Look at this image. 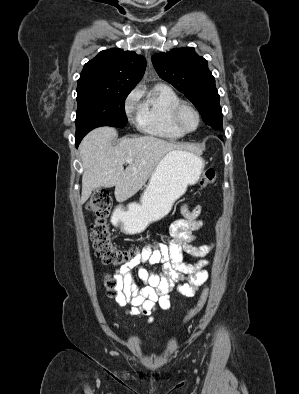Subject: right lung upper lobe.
<instances>
[{"mask_svg": "<svg viewBox=\"0 0 299 394\" xmlns=\"http://www.w3.org/2000/svg\"><path fill=\"white\" fill-rule=\"evenodd\" d=\"M145 68V58L133 51L104 50L84 65L77 90H132L141 80Z\"/></svg>", "mask_w": 299, "mask_h": 394, "instance_id": "obj_1", "label": "right lung upper lobe"}]
</instances>
